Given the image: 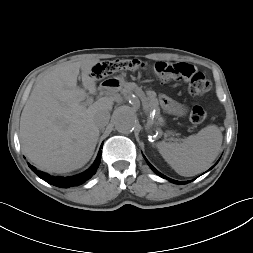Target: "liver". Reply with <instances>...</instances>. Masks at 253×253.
I'll return each mask as SVG.
<instances>
[{
    "label": "liver",
    "mask_w": 253,
    "mask_h": 253,
    "mask_svg": "<svg viewBox=\"0 0 253 253\" xmlns=\"http://www.w3.org/2000/svg\"><path fill=\"white\" fill-rule=\"evenodd\" d=\"M97 59L67 62L45 74L33 88L21 114L20 142L27 158L40 169L65 173L92 157L99 127L95 117L109 112L113 97H101L86 107L85 89L96 93L91 77ZM85 89L77 86L80 73Z\"/></svg>",
    "instance_id": "liver-1"
}]
</instances>
